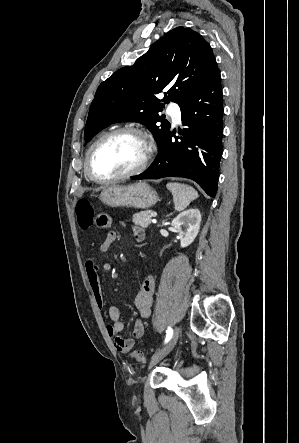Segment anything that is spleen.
Listing matches in <instances>:
<instances>
[{
	"label": "spleen",
	"mask_w": 299,
	"mask_h": 443,
	"mask_svg": "<svg viewBox=\"0 0 299 443\" xmlns=\"http://www.w3.org/2000/svg\"><path fill=\"white\" fill-rule=\"evenodd\" d=\"M166 187L172 193L174 208L177 211L184 210L191 201L198 198V192L186 184L170 182Z\"/></svg>",
	"instance_id": "3e777b00"
}]
</instances>
